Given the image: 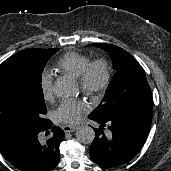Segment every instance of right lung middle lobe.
I'll return each instance as SVG.
<instances>
[{"label": "right lung middle lobe", "mask_w": 171, "mask_h": 171, "mask_svg": "<svg viewBox=\"0 0 171 171\" xmlns=\"http://www.w3.org/2000/svg\"><path fill=\"white\" fill-rule=\"evenodd\" d=\"M58 50H23L0 65V153L4 157L46 122L41 78Z\"/></svg>", "instance_id": "obj_1"}]
</instances>
